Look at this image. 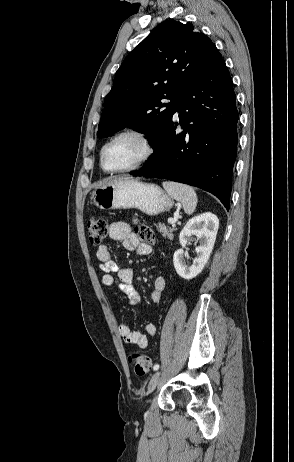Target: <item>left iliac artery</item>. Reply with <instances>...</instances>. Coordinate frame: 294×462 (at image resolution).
<instances>
[{
  "instance_id": "obj_1",
  "label": "left iliac artery",
  "mask_w": 294,
  "mask_h": 462,
  "mask_svg": "<svg viewBox=\"0 0 294 462\" xmlns=\"http://www.w3.org/2000/svg\"><path fill=\"white\" fill-rule=\"evenodd\" d=\"M159 367H160V366H159L158 364H156V365H154L153 370H154V371H157V370L159 369Z\"/></svg>"
}]
</instances>
